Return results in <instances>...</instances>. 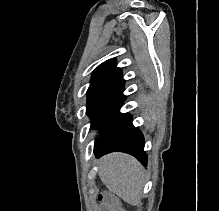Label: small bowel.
<instances>
[{"label":"small bowel","instance_id":"small-bowel-1","mask_svg":"<svg viewBox=\"0 0 219 211\" xmlns=\"http://www.w3.org/2000/svg\"><path fill=\"white\" fill-rule=\"evenodd\" d=\"M102 211H121L118 207L116 198L111 194H104L100 198Z\"/></svg>","mask_w":219,"mask_h":211}]
</instances>
